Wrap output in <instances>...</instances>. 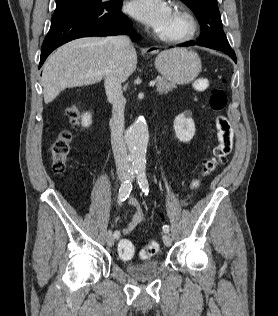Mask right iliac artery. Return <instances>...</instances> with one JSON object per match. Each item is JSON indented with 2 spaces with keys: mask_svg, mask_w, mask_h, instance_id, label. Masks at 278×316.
Returning <instances> with one entry per match:
<instances>
[{
  "mask_svg": "<svg viewBox=\"0 0 278 316\" xmlns=\"http://www.w3.org/2000/svg\"><path fill=\"white\" fill-rule=\"evenodd\" d=\"M129 177L122 182L120 188H119V195H118V205H121L128 197L129 194L132 190V183L131 180L133 178V176L137 173V169L136 168H131L129 170ZM114 238H119L120 236V232L119 231H115L113 234Z\"/></svg>",
  "mask_w": 278,
  "mask_h": 316,
  "instance_id": "right-iliac-artery-1",
  "label": "right iliac artery"
}]
</instances>
